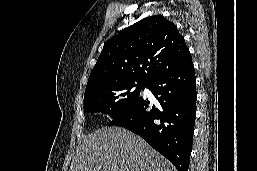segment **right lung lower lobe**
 <instances>
[{
    "mask_svg": "<svg viewBox=\"0 0 257 171\" xmlns=\"http://www.w3.org/2000/svg\"><path fill=\"white\" fill-rule=\"evenodd\" d=\"M157 107L140 97L109 125L129 129L166 157L178 171H188L196 114V76L193 62L157 76L146 86Z\"/></svg>",
    "mask_w": 257,
    "mask_h": 171,
    "instance_id": "1",
    "label": "right lung lower lobe"
}]
</instances>
